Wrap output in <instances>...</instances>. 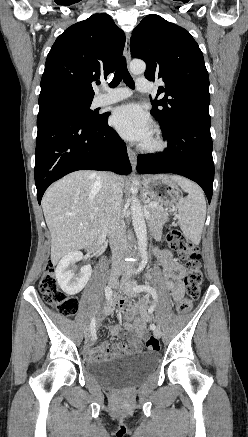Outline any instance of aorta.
Listing matches in <instances>:
<instances>
[{
	"label": "aorta",
	"instance_id": "1",
	"mask_svg": "<svg viewBox=\"0 0 248 437\" xmlns=\"http://www.w3.org/2000/svg\"><path fill=\"white\" fill-rule=\"evenodd\" d=\"M145 69H146V64L141 60H133L130 63V71L133 74L136 75L142 74L145 72ZM137 183L138 181L135 178H133L132 186H131L132 193L137 192V188H136ZM131 218H132L134 231L137 237L139 253L142 258L146 259L147 258V229H146L142 206L140 204L139 199L136 196L131 197Z\"/></svg>",
	"mask_w": 248,
	"mask_h": 437
}]
</instances>
